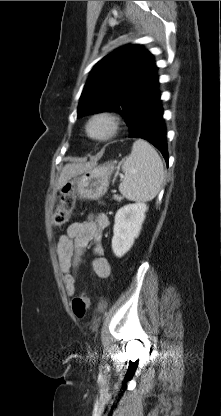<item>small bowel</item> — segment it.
<instances>
[{
	"label": "small bowel",
	"instance_id": "obj_1",
	"mask_svg": "<svg viewBox=\"0 0 221 416\" xmlns=\"http://www.w3.org/2000/svg\"><path fill=\"white\" fill-rule=\"evenodd\" d=\"M108 225V216L97 213L88 219L71 223L66 232L59 237L57 256L68 295L76 292V272L90 243L93 254L90 263L92 273L99 278H107L110 275V265L102 247L103 231Z\"/></svg>",
	"mask_w": 221,
	"mask_h": 416
}]
</instances>
